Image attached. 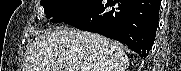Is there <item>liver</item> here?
Here are the masks:
<instances>
[{
  "label": "liver",
  "instance_id": "obj_1",
  "mask_svg": "<svg viewBox=\"0 0 181 71\" xmlns=\"http://www.w3.org/2000/svg\"><path fill=\"white\" fill-rule=\"evenodd\" d=\"M122 46L99 34L58 27L35 38L23 71H125Z\"/></svg>",
  "mask_w": 181,
  "mask_h": 71
}]
</instances>
